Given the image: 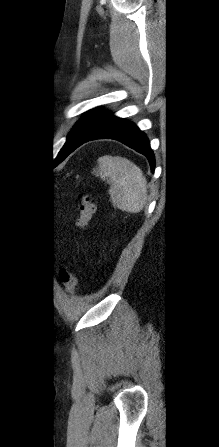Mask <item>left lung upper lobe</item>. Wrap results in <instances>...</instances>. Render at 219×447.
<instances>
[{
  "mask_svg": "<svg viewBox=\"0 0 219 447\" xmlns=\"http://www.w3.org/2000/svg\"><path fill=\"white\" fill-rule=\"evenodd\" d=\"M108 115V112L98 110L97 108L88 111L86 116L73 127L68 135L67 142L60 150L57 157L66 153L73 144L79 143L94 133L102 125Z\"/></svg>",
  "mask_w": 219,
  "mask_h": 447,
  "instance_id": "5c2ea615",
  "label": "left lung upper lobe"
}]
</instances>
